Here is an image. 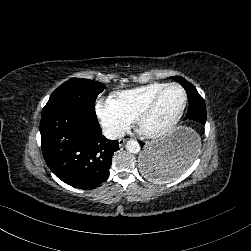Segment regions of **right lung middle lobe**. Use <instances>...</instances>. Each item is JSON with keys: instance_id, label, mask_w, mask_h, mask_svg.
Returning a JSON list of instances; mask_svg holds the SVG:
<instances>
[{"instance_id": "obj_1", "label": "right lung middle lobe", "mask_w": 251, "mask_h": 251, "mask_svg": "<svg viewBox=\"0 0 251 251\" xmlns=\"http://www.w3.org/2000/svg\"><path fill=\"white\" fill-rule=\"evenodd\" d=\"M104 89L105 85L97 81L70 79L52 93L45 106L74 104L94 109L95 99Z\"/></svg>"}]
</instances>
